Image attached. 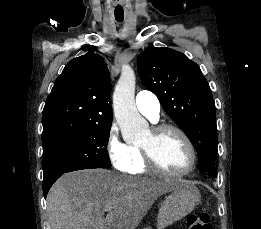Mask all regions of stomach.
Instances as JSON below:
<instances>
[{"instance_id":"1","label":"stomach","mask_w":261,"mask_h":229,"mask_svg":"<svg viewBox=\"0 0 261 229\" xmlns=\"http://www.w3.org/2000/svg\"><path fill=\"white\" fill-rule=\"evenodd\" d=\"M171 183L173 191L159 209L157 229H166L175 221H181L183 217L193 211L195 205L200 201V193L192 181L173 179Z\"/></svg>"}]
</instances>
